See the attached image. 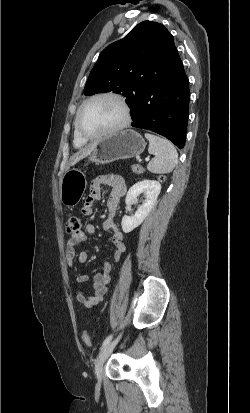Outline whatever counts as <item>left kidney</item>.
<instances>
[{"label":"left kidney","instance_id":"5707ae66","mask_svg":"<svg viewBox=\"0 0 250 413\" xmlns=\"http://www.w3.org/2000/svg\"><path fill=\"white\" fill-rule=\"evenodd\" d=\"M161 191V184L155 180H143L134 184L127 192L125 203L130 205L137 200L140 194H144L142 204L137 208L133 216H123L121 226L124 233H129L137 228L154 207Z\"/></svg>","mask_w":250,"mask_h":413}]
</instances>
